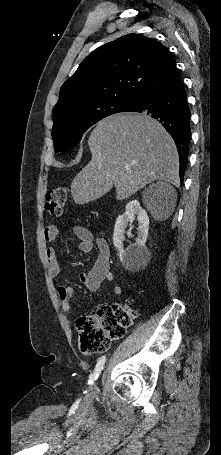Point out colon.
<instances>
[{
    "label": "colon",
    "instance_id": "colon-1",
    "mask_svg": "<svg viewBox=\"0 0 221 455\" xmlns=\"http://www.w3.org/2000/svg\"><path fill=\"white\" fill-rule=\"evenodd\" d=\"M69 190L65 186L51 189L46 196L45 210L54 217L62 214ZM137 316L129 306L112 304L101 307L96 314L77 320L80 333V349L84 353L105 350L110 341L122 338Z\"/></svg>",
    "mask_w": 221,
    "mask_h": 455
}]
</instances>
